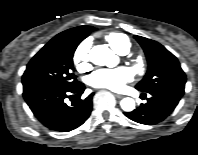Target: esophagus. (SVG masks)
<instances>
[{
    "mask_svg": "<svg viewBox=\"0 0 198 155\" xmlns=\"http://www.w3.org/2000/svg\"><path fill=\"white\" fill-rule=\"evenodd\" d=\"M115 97L118 98V99H122L124 96L120 95V94H115Z\"/></svg>",
    "mask_w": 198,
    "mask_h": 155,
    "instance_id": "obj_1",
    "label": "esophagus"
}]
</instances>
